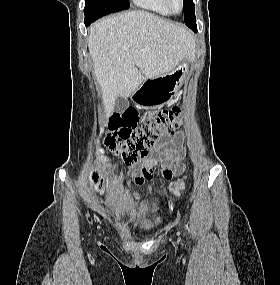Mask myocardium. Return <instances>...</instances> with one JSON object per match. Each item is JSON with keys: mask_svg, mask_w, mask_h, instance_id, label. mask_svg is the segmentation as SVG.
Wrapping results in <instances>:
<instances>
[{"mask_svg": "<svg viewBox=\"0 0 280 285\" xmlns=\"http://www.w3.org/2000/svg\"><path fill=\"white\" fill-rule=\"evenodd\" d=\"M164 1H165L166 5H167L169 11L172 14H179L185 8V0H180L181 7H180V9L178 11L173 10L172 5H171V2H172L171 0H164Z\"/></svg>", "mask_w": 280, "mask_h": 285, "instance_id": "myocardium-1", "label": "myocardium"}]
</instances>
